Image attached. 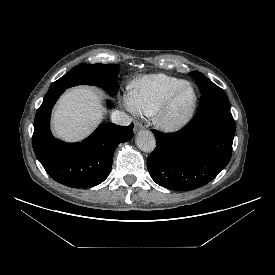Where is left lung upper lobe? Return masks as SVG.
Returning <instances> with one entry per match:
<instances>
[{"label": "left lung upper lobe", "mask_w": 275, "mask_h": 275, "mask_svg": "<svg viewBox=\"0 0 275 275\" xmlns=\"http://www.w3.org/2000/svg\"><path fill=\"white\" fill-rule=\"evenodd\" d=\"M190 75L195 80L201 91L199 115L211 112H229L230 105L224 92L207 77L198 71L191 72Z\"/></svg>", "instance_id": "1"}]
</instances>
